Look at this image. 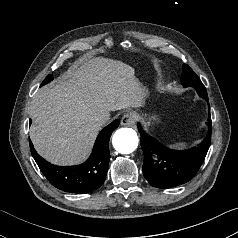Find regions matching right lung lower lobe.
<instances>
[{
	"instance_id": "obj_1",
	"label": "right lung lower lobe",
	"mask_w": 238,
	"mask_h": 238,
	"mask_svg": "<svg viewBox=\"0 0 238 238\" xmlns=\"http://www.w3.org/2000/svg\"><path fill=\"white\" fill-rule=\"evenodd\" d=\"M119 126V120L106 126L98 135L92 154L85 163L60 167L48 163L37 154L32 143L30 149L41 172L56 188L70 193H88L98 189L106 179L110 159L109 139Z\"/></svg>"
}]
</instances>
